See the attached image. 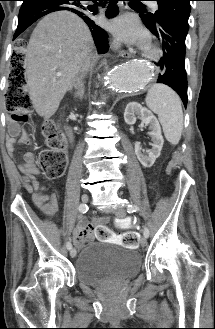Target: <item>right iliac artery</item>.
I'll list each match as a JSON object with an SVG mask.
<instances>
[{"mask_svg": "<svg viewBox=\"0 0 215 329\" xmlns=\"http://www.w3.org/2000/svg\"><path fill=\"white\" fill-rule=\"evenodd\" d=\"M87 210H88V206L86 204H80L79 211L81 213L84 214V213L87 212ZM66 247H67L68 250H70L72 248V244L70 242H67Z\"/></svg>", "mask_w": 215, "mask_h": 329, "instance_id": "82829eb1", "label": "right iliac artery"}]
</instances>
